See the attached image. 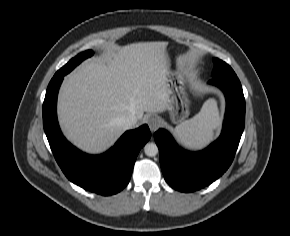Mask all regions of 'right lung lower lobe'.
I'll return each instance as SVG.
<instances>
[{"label": "right lung lower lobe", "instance_id": "98d812e1", "mask_svg": "<svg viewBox=\"0 0 290 236\" xmlns=\"http://www.w3.org/2000/svg\"><path fill=\"white\" fill-rule=\"evenodd\" d=\"M64 75H54L43 103V126L53 155L65 176L85 190L101 195L121 191L128 183L140 149L150 139L147 125L127 131L106 153L91 156L62 135L56 115L57 94Z\"/></svg>", "mask_w": 290, "mask_h": 236}]
</instances>
